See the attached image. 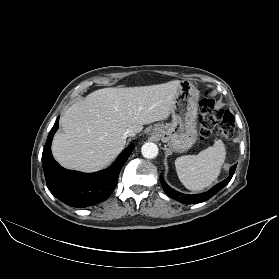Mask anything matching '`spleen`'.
Masks as SVG:
<instances>
[{
	"label": "spleen",
	"instance_id": "spleen-1",
	"mask_svg": "<svg viewBox=\"0 0 279 279\" xmlns=\"http://www.w3.org/2000/svg\"><path fill=\"white\" fill-rule=\"evenodd\" d=\"M226 158L222 140L197 155H185L175 160L177 175L189 190L200 191L209 187L219 176Z\"/></svg>",
	"mask_w": 279,
	"mask_h": 279
}]
</instances>
